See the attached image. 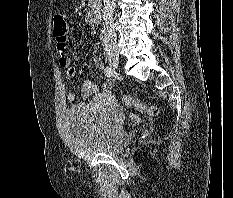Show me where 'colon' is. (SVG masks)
Listing matches in <instances>:
<instances>
[{
  "label": "colon",
  "instance_id": "obj_1",
  "mask_svg": "<svg viewBox=\"0 0 233 198\" xmlns=\"http://www.w3.org/2000/svg\"><path fill=\"white\" fill-rule=\"evenodd\" d=\"M68 33V25L62 16H55L53 19V35L57 39H64ZM123 103L130 108H134L141 113L148 114L149 116H156L158 108L156 106H148L141 100L131 96H123Z\"/></svg>",
  "mask_w": 233,
  "mask_h": 198
}]
</instances>
